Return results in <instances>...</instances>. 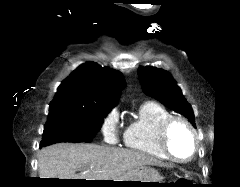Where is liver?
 <instances>
[{"label": "liver", "mask_w": 240, "mask_h": 187, "mask_svg": "<svg viewBox=\"0 0 240 187\" xmlns=\"http://www.w3.org/2000/svg\"><path fill=\"white\" fill-rule=\"evenodd\" d=\"M147 165L162 166L139 152L96 144L58 143L38 152L40 178L115 180Z\"/></svg>", "instance_id": "liver-1"}]
</instances>
